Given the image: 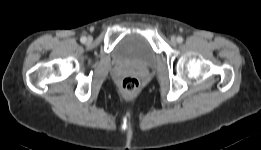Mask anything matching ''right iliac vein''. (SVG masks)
Here are the masks:
<instances>
[{"label":"right iliac vein","mask_w":261,"mask_h":150,"mask_svg":"<svg viewBox=\"0 0 261 150\" xmlns=\"http://www.w3.org/2000/svg\"><path fill=\"white\" fill-rule=\"evenodd\" d=\"M87 41L90 43L92 41V37H88Z\"/></svg>","instance_id":"1"}]
</instances>
